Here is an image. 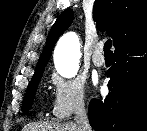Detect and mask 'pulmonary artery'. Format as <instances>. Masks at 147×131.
<instances>
[{"label": "pulmonary artery", "mask_w": 147, "mask_h": 131, "mask_svg": "<svg viewBox=\"0 0 147 131\" xmlns=\"http://www.w3.org/2000/svg\"><path fill=\"white\" fill-rule=\"evenodd\" d=\"M103 47H104V44L102 42L98 43L95 46V51L92 56V61L94 65L97 67H101L105 63V58H104V55L102 54Z\"/></svg>", "instance_id": "1"}]
</instances>
